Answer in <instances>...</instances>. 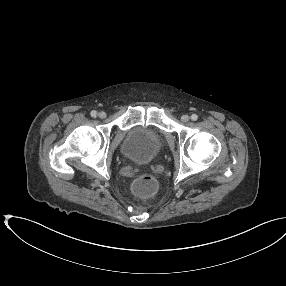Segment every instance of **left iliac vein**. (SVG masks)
<instances>
[{
	"mask_svg": "<svg viewBox=\"0 0 286 286\" xmlns=\"http://www.w3.org/2000/svg\"><path fill=\"white\" fill-rule=\"evenodd\" d=\"M189 119H190V117H189L188 115H183V116L181 117V120H182L183 122H188Z\"/></svg>",
	"mask_w": 286,
	"mask_h": 286,
	"instance_id": "1",
	"label": "left iliac vein"
}]
</instances>
